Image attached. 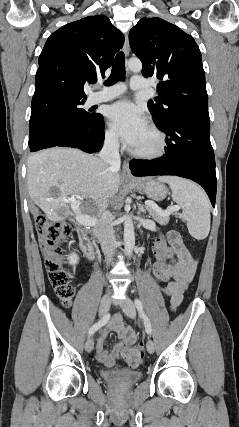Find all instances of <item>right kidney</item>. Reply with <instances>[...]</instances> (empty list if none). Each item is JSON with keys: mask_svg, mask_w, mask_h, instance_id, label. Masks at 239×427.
Returning a JSON list of instances; mask_svg holds the SVG:
<instances>
[{"mask_svg": "<svg viewBox=\"0 0 239 427\" xmlns=\"http://www.w3.org/2000/svg\"><path fill=\"white\" fill-rule=\"evenodd\" d=\"M68 260L71 265H76L79 261V257L76 253H72L68 256Z\"/></svg>", "mask_w": 239, "mask_h": 427, "instance_id": "1", "label": "right kidney"}]
</instances>
